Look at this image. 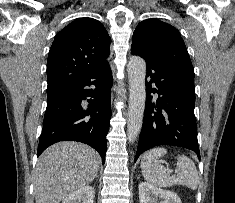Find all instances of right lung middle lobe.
Instances as JSON below:
<instances>
[{"instance_id": "1", "label": "right lung middle lobe", "mask_w": 235, "mask_h": 203, "mask_svg": "<svg viewBox=\"0 0 235 203\" xmlns=\"http://www.w3.org/2000/svg\"><path fill=\"white\" fill-rule=\"evenodd\" d=\"M61 86H52V87H48L47 88V94L56 91L57 89H59Z\"/></svg>"}]
</instances>
